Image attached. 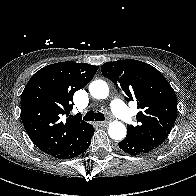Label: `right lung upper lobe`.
<instances>
[{"label":"right lung upper lobe","mask_w":196,"mask_h":196,"mask_svg":"<svg viewBox=\"0 0 196 196\" xmlns=\"http://www.w3.org/2000/svg\"><path fill=\"white\" fill-rule=\"evenodd\" d=\"M98 66L72 61L37 71L21 96V119L32 142L44 153L67 147L90 124L69 115L74 93L86 86ZM66 121L62 122V116Z\"/></svg>","instance_id":"cb5924a9"}]
</instances>
